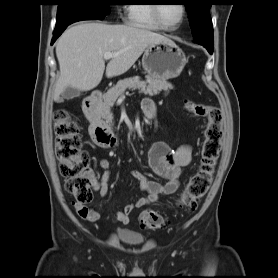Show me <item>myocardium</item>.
I'll use <instances>...</instances> for the list:
<instances>
[{
	"mask_svg": "<svg viewBox=\"0 0 278 278\" xmlns=\"http://www.w3.org/2000/svg\"><path fill=\"white\" fill-rule=\"evenodd\" d=\"M181 7H182V16H181V19L180 21L177 23V25L175 26H169L167 25L162 19H161V16H160V12H159V9H160V5L158 4H154L152 6V15H153V18L155 20V22L162 28V29H165V30H169V31H173V30H176L178 29L182 23L184 22L185 18H186V15H187V7L185 4H181Z\"/></svg>",
	"mask_w": 278,
	"mask_h": 278,
	"instance_id": "myocardium-1",
	"label": "myocardium"
}]
</instances>
